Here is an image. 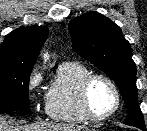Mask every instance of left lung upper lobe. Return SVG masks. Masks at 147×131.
<instances>
[{"mask_svg": "<svg viewBox=\"0 0 147 131\" xmlns=\"http://www.w3.org/2000/svg\"><path fill=\"white\" fill-rule=\"evenodd\" d=\"M68 28L74 51L106 73L120 89L128 114L124 123L145 127L138 104L136 65L120 27L91 11L72 19Z\"/></svg>", "mask_w": 147, "mask_h": 131, "instance_id": "1", "label": "left lung upper lobe"}]
</instances>
